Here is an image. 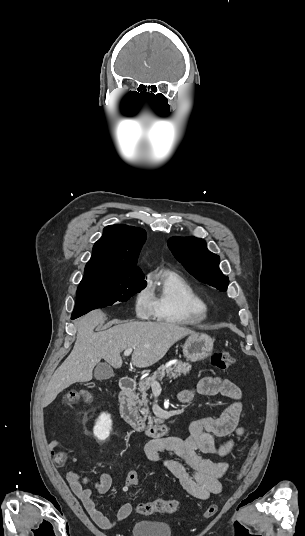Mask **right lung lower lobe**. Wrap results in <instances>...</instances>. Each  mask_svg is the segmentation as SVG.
<instances>
[{
  "instance_id": "right-lung-lower-lobe-1",
  "label": "right lung lower lobe",
  "mask_w": 305,
  "mask_h": 536,
  "mask_svg": "<svg viewBox=\"0 0 305 536\" xmlns=\"http://www.w3.org/2000/svg\"><path fill=\"white\" fill-rule=\"evenodd\" d=\"M77 317H79V316H77V315H72L71 319H75V318H77Z\"/></svg>"
}]
</instances>
